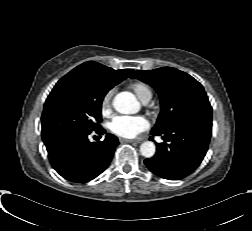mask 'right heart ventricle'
Returning <instances> with one entry per match:
<instances>
[{
    "label": "right heart ventricle",
    "instance_id": "obj_1",
    "mask_svg": "<svg viewBox=\"0 0 252 231\" xmlns=\"http://www.w3.org/2000/svg\"><path fill=\"white\" fill-rule=\"evenodd\" d=\"M130 87L142 102L149 101L151 99L152 90L145 83L142 82L133 83Z\"/></svg>",
    "mask_w": 252,
    "mask_h": 231
}]
</instances>
